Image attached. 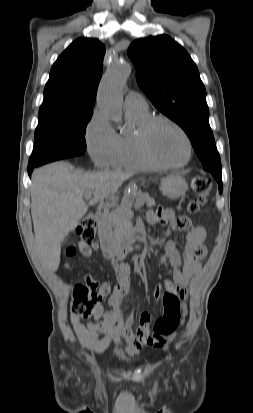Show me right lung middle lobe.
I'll list each match as a JSON object with an SVG mask.
<instances>
[{"label":"right lung middle lobe","mask_w":253,"mask_h":413,"mask_svg":"<svg viewBox=\"0 0 253 413\" xmlns=\"http://www.w3.org/2000/svg\"><path fill=\"white\" fill-rule=\"evenodd\" d=\"M92 114L93 112L39 114L28 167L82 155L86 150L85 130Z\"/></svg>","instance_id":"dd1d6c3e"}]
</instances>
